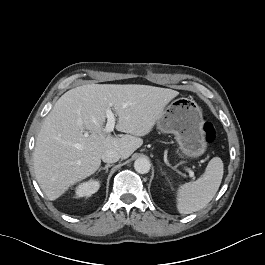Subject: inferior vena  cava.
Listing matches in <instances>:
<instances>
[{
	"label": "inferior vena cava",
	"mask_w": 265,
	"mask_h": 265,
	"mask_svg": "<svg viewBox=\"0 0 265 265\" xmlns=\"http://www.w3.org/2000/svg\"><path fill=\"white\" fill-rule=\"evenodd\" d=\"M121 158L115 150H107L102 154V161L105 163H115Z\"/></svg>",
	"instance_id": "inferior-vena-cava-1"
}]
</instances>
